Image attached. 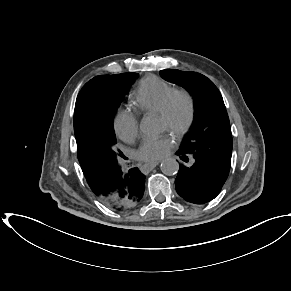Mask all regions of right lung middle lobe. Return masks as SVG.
<instances>
[{
	"mask_svg": "<svg viewBox=\"0 0 291 291\" xmlns=\"http://www.w3.org/2000/svg\"><path fill=\"white\" fill-rule=\"evenodd\" d=\"M137 73L100 75L87 82L75 104L74 123L83 147L104 165L117 163L113 119Z\"/></svg>",
	"mask_w": 291,
	"mask_h": 291,
	"instance_id": "1",
	"label": "right lung middle lobe"
}]
</instances>
